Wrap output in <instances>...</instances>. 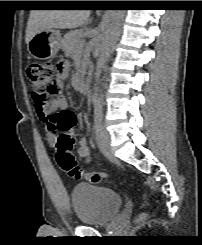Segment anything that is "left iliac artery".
Segmentation results:
<instances>
[{
  "instance_id": "obj_1",
  "label": "left iliac artery",
  "mask_w": 202,
  "mask_h": 245,
  "mask_svg": "<svg viewBox=\"0 0 202 245\" xmlns=\"http://www.w3.org/2000/svg\"><path fill=\"white\" fill-rule=\"evenodd\" d=\"M102 107L100 104H96L95 105V109H94V129L95 132L98 131V129L101 126V122H102Z\"/></svg>"
}]
</instances>
